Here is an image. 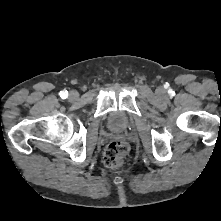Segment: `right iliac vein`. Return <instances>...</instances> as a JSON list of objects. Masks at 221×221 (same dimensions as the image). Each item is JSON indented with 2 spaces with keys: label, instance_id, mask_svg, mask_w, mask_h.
I'll return each mask as SVG.
<instances>
[{
  "label": "right iliac vein",
  "instance_id": "obj_1",
  "mask_svg": "<svg viewBox=\"0 0 221 221\" xmlns=\"http://www.w3.org/2000/svg\"><path fill=\"white\" fill-rule=\"evenodd\" d=\"M78 96H79V94H78L77 91H71V92L69 93V99H70V100H76V99L78 98Z\"/></svg>",
  "mask_w": 221,
  "mask_h": 221
}]
</instances>
